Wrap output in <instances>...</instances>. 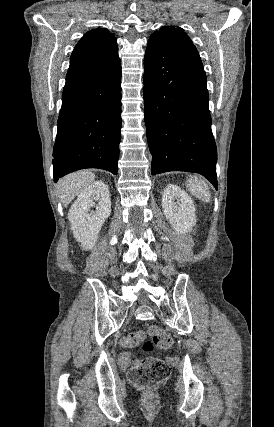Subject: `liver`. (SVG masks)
Wrapping results in <instances>:
<instances>
[{"label": "liver", "instance_id": "obj_1", "mask_svg": "<svg viewBox=\"0 0 274 427\" xmlns=\"http://www.w3.org/2000/svg\"><path fill=\"white\" fill-rule=\"evenodd\" d=\"M94 180L95 176L89 170H81V172L68 174L65 178H61L58 182V194L63 206L67 208L75 196L83 192Z\"/></svg>", "mask_w": 274, "mask_h": 427}]
</instances>
